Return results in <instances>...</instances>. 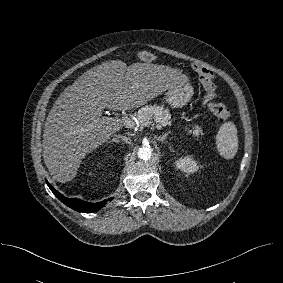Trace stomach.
Instances as JSON below:
<instances>
[{"mask_svg":"<svg viewBox=\"0 0 283 283\" xmlns=\"http://www.w3.org/2000/svg\"><path fill=\"white\" fill-rule=\"evenodd\" d=\"M194 94L192 86L185 80L179 81L165 93L166 102L174 108L183 107L189 103Z\"/></svg>","mask_w":283,"mask_h":283,"instance_id":"stomach-1","label":"stomach"}]
</instances>
